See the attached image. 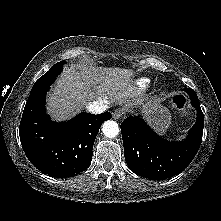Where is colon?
I'll return each instance as SVG.
<instances>
[{
  "mask_svg": "<svg viewBox=\"0 0 221 221\" xmlns=\"http://www.w3.org/2000/svg\"><path fill=\"white\" fill-rule=\"evenodd\" d=\"M172 102L174 106L181 110V111H186L187 108V97L183 94H176L172 98Z\"/></svg>",
  "mask_w": 221,
  "mask_h": 221,
  "instance_id": "colon-1",
  "label": "colon"
}]
</instances>
